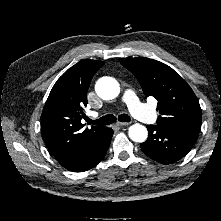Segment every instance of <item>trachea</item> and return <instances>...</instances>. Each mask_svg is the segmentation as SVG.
Returning a JSON list of instances; mask_svg holds the SVG:
<instances>
[{
    "instance_id": "obj_1",
    "label": "trachea",
    "mask_w": 221,
    "mask_h": 221,
    "mask_svg": "<svg viewBox=\"0 0 221 221\" xmlns=\"http://www.w3.org/2000/svg\"><path fill=\"white\" fill-rule=\"evenodd\" d=\"M118 121L120 122H130V117L127 114H120L118 116ZM87 122L89 124H93V125H109L112 124L114 122H116V117L112 114H108L105 115L103 117H101L100 119L97 120H91V119H87Z\"/></svg>"
}]
</instances>
